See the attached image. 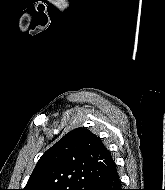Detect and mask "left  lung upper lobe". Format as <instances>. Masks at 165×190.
<instances>
[{
  "instance_id": "obj_1",
  "label": "left lung upper lobe",
  "mask_w": 165,
  "mask_h": 190,
  "mask_svg": "<svg viewBox=\"0 0 165 190\" xmlns=\"http://www.w3.org/2000/svg\"><path fill=\"white\" fill-rule=\"evenodd\" d=\"M114 164L100 138L77 128L41 156L23 190H93Z\"/></svg>"
}]
</instances>
